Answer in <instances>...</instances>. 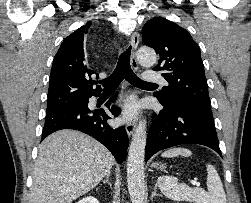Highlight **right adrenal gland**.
<instances>
[{"instance_id": "1", "label": "right adrenal gland", "mask_w": 251, "mask_h": 203, "mask_svg": "<svg viewBox=\"0 0 251 203\" xmlns=\"http://www.w3.org/2000/svg\"><path fill=\"white\" fill-rule=\"evenodd\" d=\"M109 177H110V173L109 174H107L106 175V179L105 180H103V184H105V183H108L109 184V186L111 187L112 186V184L110 183V181H109Z\"/></svg>"}]
</instances>
